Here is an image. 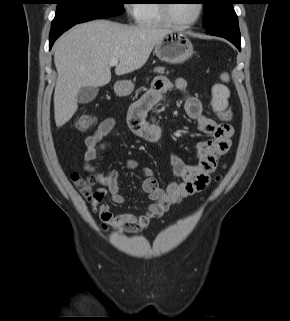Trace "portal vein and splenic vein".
Listing matches in <instances>:
<instances>
[{"instance_id":"1","label":"portal vein and splenic vein","mask_w":290,"mask_h":321,"mask_svg":"<svg viewBox=\"0 0 290 321\" xmlns=\"http://www.w3.org/2000/svg\"><path fill=\"white\" fill-rule=\"evenodd\" d=\"M118 64V59L114 58V59H111L110 62H109V66H115Z\"/></svg>"}]
</instances>
